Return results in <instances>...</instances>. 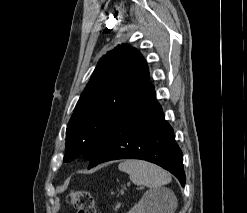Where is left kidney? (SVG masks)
<instances>
[{
  "instance_id": "left-kidney-1",
  "label": "left kidney",
  "mask_w": 247,
  "mask_h": 213,
  "mask_svg": "<svg viewBox=\"0 0 247 213\" xmlns=\"http://www.w3.org/2000/svg\"><path fill=\"white\" fill-rule=\"evenodd\" d=\"M158 211V200L152 191H148L127 213H159Z\"/></svg>"
}]
</instances>
